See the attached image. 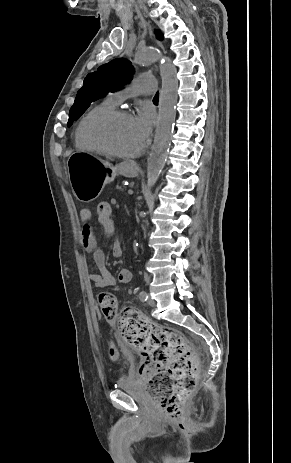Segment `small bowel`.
<instances>
[{"label":"small bowel","mask_w":291,"mask_h":463,"mask_svg":"<svg viewBox=\"0 0 291 463\" xmlns=\"http://www.w3.org/2000/svg\"><path fill=\"white\" fill-rule=\"evenodd\" d=\"M113 215V211H112ZM109 216V217H112ZM92 218V212L88 208H83L80 210V220L83 223L81 228V241L83 246L91 253L96 268L98 269V273H90L88 275L89 280L95 285L96 288H107L112 287L118 281L121 284L130 283L132 280V272L128 268H123L120 270L117 279L113 276V274L107 269L106 266V259L105 254L102 249L98 246L94 232L89 224ZM104 232L107 235H112L115 231V224L113 221L112 226H102ZM113 254L116 257L121 256L122 248L120 240L115 238L113 240Z\"/></svg>","instance_id":"1"}]
</instances>
